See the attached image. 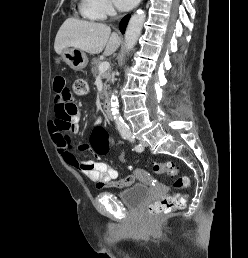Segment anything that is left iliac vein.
Listing matches in <instances>:
<instances>
[{
    "mask_svg": "<svg viewBox=\"0 0 248 258\" xmlns=\"http://www.w3.org/2000/svg\"><path fill=\"white\" fill-rule=\"evenodd\" d=\"M140 144L143 148L147 146V142L144 139H140Z\"/></svg>",
    "mask_w": 248,
    "mask_h": 258,
    "instance_id": "left-iliac-vein-1",
    "label": "left iliac vein"
}]
</instances>
